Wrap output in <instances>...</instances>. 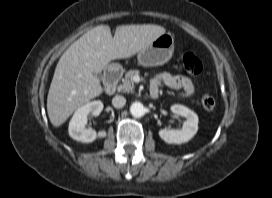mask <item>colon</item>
Here are the masks:
<instances>
[{"label": "colon", "mask_w": 272, "mask_h": 198, "mask_svg": "<svg viewBox=\"0 0 272 198\" xmlns=\"http://www.w3.org/2000/svg\"><path fill=\"white\" fill-rule=\"evenodd\" d=\"M181 65L183 69L191 75H198L203 69L202 62L192 52L182 54ZM201 104L205 109L212 110L216 105L214 94L211 91H205L201 96Z\"/></svg>", "instance_id": "colon-1"}]
</instances>
